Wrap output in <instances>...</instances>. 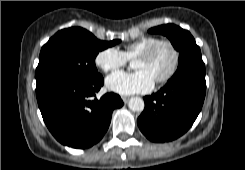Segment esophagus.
Masks as SVG:
<instances>
[{"instance_id":"34e87169","label":"esophagus","mask_w":245,"mask_h":170,"mask_svg":"<svg viewBox=\"0 0 245 170\" xmlns=\"http://www.w3.org/2000/svg\"><path fill=\"white\" fill-rule=\"evenodd\" d=\"M129 96H122V100L124 103H126L129 100Z\"/></svg>"}]
</instances>
